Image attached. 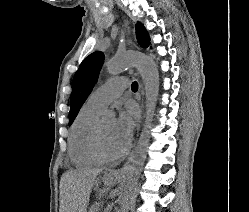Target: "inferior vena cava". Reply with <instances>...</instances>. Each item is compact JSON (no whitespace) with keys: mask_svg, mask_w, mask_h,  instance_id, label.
<instances>
[{"mask_svg":"<svg viewBox=\"0 0 249 212\" xmlns=\"http://www.w3.org/2000/svg\"><path fill=\"white\" fill-rule=\"evenodd\" d=\"M125 178H127V174H126V172H125L124 180H125Z\"/></svg>","mask_w":249,"mask_h":212,"instance_id":"inferior-vena-cava-1","label":"inferior vena cava"}]
</instances>
